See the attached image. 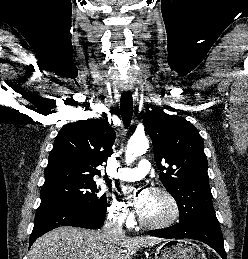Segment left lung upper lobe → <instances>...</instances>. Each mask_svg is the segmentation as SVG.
<instances>
[{
	"label": "left lung upper lobe",
	"mask_w": 248,
	"mask_h": 259,
	"mask_svg": "<svg viewBox=\"0 0 248 259\" xmlns=\"http://www.w3.org/2000/svg\"><path fill=\"white\" fill-rule=\"evenodd\" d=\"M143 123L153 142L157 167L166 170L160 179L177 202L180 222L215 214L207 157L197 129L184 118L161 109L148 111Z\"/></svg>",
	"instance_id": "left-lung-upper-lobe-1"
}]
</instances>
